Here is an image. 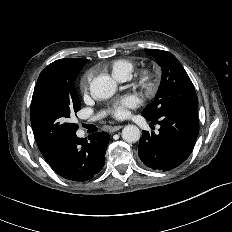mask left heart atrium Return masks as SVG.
Here are the masks:
<instances>
[{"label": "left heart atrium", "instance_id": "39dd6f15", "mask_svg": "<svg viewBox=\"0 0 232 232\" xmlns=\"http://www.w3.org/2000/svg\"><path fill=\"white\" fill-rule=\"evenodd\" d=\"M138 104L139 100L137 97L133 95L127 96L115 105L113 114L116 118H124L128 114V109L134 108Z\"/></svg>", "mask_w": 232, "mask_h": 232}]
</instances>
